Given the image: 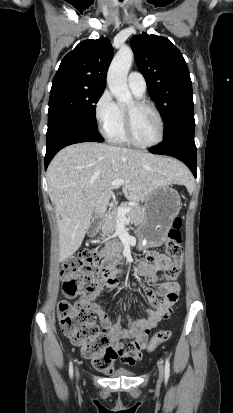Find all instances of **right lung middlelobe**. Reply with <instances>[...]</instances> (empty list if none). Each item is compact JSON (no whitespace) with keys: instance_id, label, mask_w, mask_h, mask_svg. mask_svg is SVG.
Returning <instances> with one entry per match:
<instances>
[{"instance_id":"1","label":"right lung middle lobe","mask_w":233,"mask_h":413,"mask_svg":"<svg viewBox=\"0 0 233 413\" xmlns=\"http://www.w3.org/2000/svg\"><path fill=\"white\" fill-rule=\"evenodd\" d=\"M104 89L77 83L52 85L48 125L58 120L74 121L98 130L95 109Z\"/></svg>"}]
</instances>
